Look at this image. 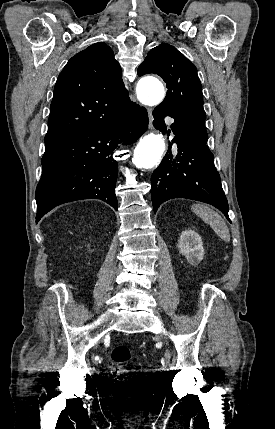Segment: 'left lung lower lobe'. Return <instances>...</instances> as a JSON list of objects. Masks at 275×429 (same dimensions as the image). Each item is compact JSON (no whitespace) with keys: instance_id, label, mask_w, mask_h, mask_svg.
Returning <instances> with one entry per match:
<instances>
[{"instance_id":"obj_1","label":"left lung lower lobe","mask_w":275,"mask_h":429,"mask_svg":"<svg viewBox=\"0 0 275 429\" xmlns=\"http://www.w3.org/2000/svg\"><path fill=\"white\" fill-rule=\"evenodd\" d=\"M153 125L163 134L172 130L177 144V154H172L171 146L160 165L151 176V199L154 212L165 201L173 198H187L209 203L228 217V202L221 186L213 153L207 146V132L186 120L157 106L153 111ZM170 116L174 123L167 131L164 117ZM231 222V221H230Z\"/></svg>"}]
</instances>
